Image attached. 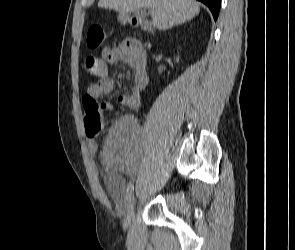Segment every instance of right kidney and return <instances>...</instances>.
I'll list each match as a JSON object with an SVG mask.
<instances>
[{
	"mask_svg": "<svg viewBox=\"0 0 295 250\" xmlns=\"http://www.w3.org/2000/svg\"><path fill=\"white\" fill-rule=\"evenodd\" d=\"M177 62H179V57L176 59Z\"/></svg>",
	"mask_w": 295,
	"mask_h": 250,
	"instance_id": "1",
	"label": "right kidney"
}]
</instances>
